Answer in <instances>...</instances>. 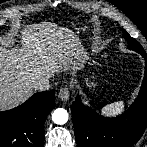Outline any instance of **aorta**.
I'll use <instances>...</instances> for the list:
<instances>
[{
	"instance_id": "aorta-1",
	"label": "aorta",
	"mask_w": 147,
	"mask_h": 147,
	"mask_svg": "<svg viewBox=\"0 0 147 147\" xmlns=\"http://www.w3.org/2000/svg\"><path fill=\"white\" fill-rule=\"evenodd\" d=\"M69 115L67 110L63 108H57L52 113V120L55 124L63 125L68 121Z\"/></svg>"
}]
</instances>
